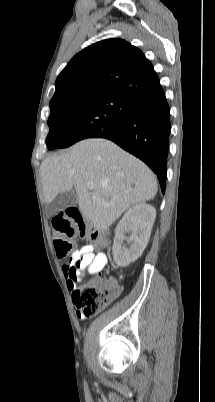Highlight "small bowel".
<instances>
[{
    "mask_svg": "<svg viewBox=\"0 0 215 402\" xmlns=\"http://www.w3.org/2000/svg\"><path fill=\"white\" fill-rule=\"evenodd\" d=\"M72 259L80 261L77 270L72 273L70 267H67L65 263L63 266V271L67 280V287L73 297L76 284L81 282L88 274L100 271L106 265L107 257L102 252H96L93 245L87 244L75 251L72 255ZM112 284L115 286L118 292L119 287L116 285V283ZM77 316L80 319L84 318V315L79 310H77Z\"/></svg>",
    "mask_w": 215,
    "mask_h": 402,
    "instance_id": "c3829d8e",
    "label": "small bowel"
}]
</instances>
